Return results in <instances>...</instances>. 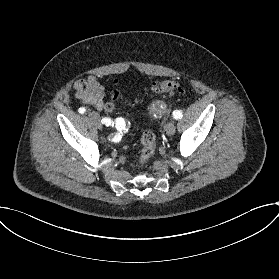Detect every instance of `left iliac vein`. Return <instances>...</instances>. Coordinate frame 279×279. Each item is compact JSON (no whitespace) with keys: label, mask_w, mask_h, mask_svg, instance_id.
<instances>
[{"label":"left iliac vein","mask_w":279,"mask_h":279,"mask_svg":"<svg viewBox=\"0 0 279 279\" xmlns=\"http://www.w3.org/2000/svg\"><path fill=\"white\" fill-rule=\"evenodd\" d=\"M167 135L172 136L175 132V126L173 122H167L165 125Z\"/></svg>","instance_id":"left-iliac-vein-1"}]
</instances>
